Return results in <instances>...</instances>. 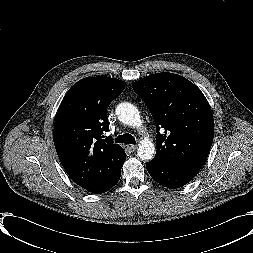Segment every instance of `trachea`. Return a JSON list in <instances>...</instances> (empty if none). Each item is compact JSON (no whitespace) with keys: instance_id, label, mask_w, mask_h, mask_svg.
<instances>
[{"instance_id":"1","label":"trachea","mask_w":253,"mask_h":253,"mask_svg":"<svg viewBox=\"0 0 253 253\" xmlns=\"http://www.w3.org/2000/svg\"><path fill=\"white\" fill-rule=\"evenodd\" d=\"M116 143H125V144H135V138L128 133H125L123 135H119L116 139H115Z\"/></svg>"}]
</instances>
